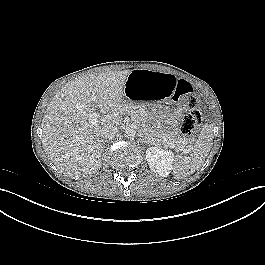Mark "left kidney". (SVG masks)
<instances>
[{
  "label": "left kidney",
  "mask_w": 265,
  "mask_h": 265,
  "mask_svg": "<svg viewBox=\"0 0 265 265\" xmlns=\"http://www.w3.org/2000/svg\"><path fill=\"white\" fill-rule=\"evenodd\" d=\"M173 154L158 147H150L146 150V160L150 169L162 177H167L172 170Z\"/></svg>",
  "instance_id": "obj_1"
}]
</instances>
